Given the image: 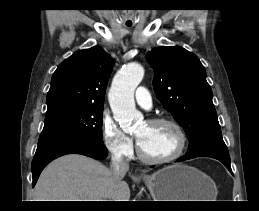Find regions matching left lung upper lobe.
Listing matches in <instances>:
<instances>
[{
	"mask_svg": "<svg viewBox=\"0 0 259 211\" xmlns=\"http://www.w3.org/2000/svg\"><path fill=\"white\" fill-rule=\"evenodd\" d=\"M146 57L155 73V94L188 136L186 155L203 150L228 152L212 102V90L198 57L180 46L157 47Z\"/></svg>",
	"mask_w": 259,
	"mask_h": 211,
	"instance_id": "obj_1",
	"label": "left lung upper lobe"
}]
</instances>
